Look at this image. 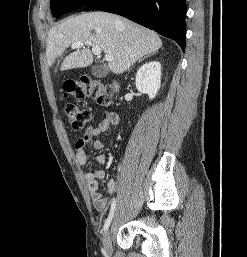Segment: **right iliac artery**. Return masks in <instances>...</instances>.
Wrapping results in <instances>:
<instances>
[{
	"label": "right iliac artery",
	"instance_id": "obj_1",
	"mask_svg": "<svg viewBox=\"0 0 247 257\" xmlns=\"http://www.w3.org/2000/svg\"><path fill=\"white\" fill-rule=\"evenodd\" d=\"M115 207H116V199L114 198L112 200V204H111L109 215H108L107 219L105 220V223H104V226H103V231H107L108 230V228L110 226V223L112 221L114 212H115Z\"/></svg>",
	"mask_w": 247,
	"mask_h": 257
}]
</instances>
